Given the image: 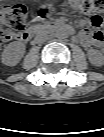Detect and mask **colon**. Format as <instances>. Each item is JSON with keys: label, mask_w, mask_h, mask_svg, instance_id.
Here are the masks:
<instances>
[{"label": "colon", "mask_w": 104, "mask_h": 137, "mask_svg": "<svg viewBox=\"0 0 104 137\" xmlns=\"http://www.w3.org/2000/svg\"><path fill=\"white\" fill-rule=\"evenodd\" d=\"M65 11L74 13L92 14L91 25L93 27L92 37L98 43L103 39L101 30L102 19L99 13L104 10V0H59ZM50 13L48 7L40 11V17L45 18ZM29 20V11L22 4L6 5L1 10V22L3 26V37L11 38L26 28Z\"/></svg>", "instance_id": "5ec220e1"}]
</instances>
